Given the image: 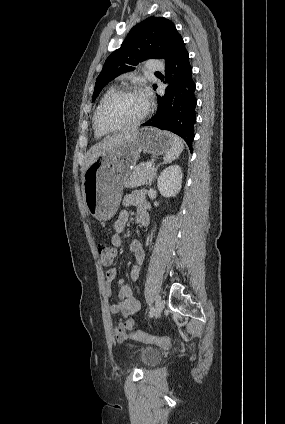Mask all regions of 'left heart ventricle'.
<instances>
[{
    "mask_svg": "<svg viewBox=\"0 0 285 424\" xmlns=\"http://www.w3.org/2000/svg\"><path fill=\"white\" fill-rule=\"evenodd\" d=\"M147 109L141 94L119 97L109 103L100 115L103 126H117L129 123L140 117Z\"/></svg>",
    "mask_w": 285,
    "mask_h": 424,
    "instance_id": "obj_1",
    "label": "left heart ventricle"
}]
</instances>
